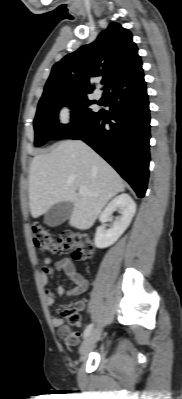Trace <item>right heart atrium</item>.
<instances>
[{
    "mask_svg": "<svg viewBox=\"0 0 182 399\" xmlns=\"http://www.w3.org/2000/svg\"><path fill=\"white\" fill-rule=\"evenodd\" d=\"M73 110L70 106H63L58 111V122L62 125H67L71 122Z\"/></svg>",
    "mask_w": 182,
    "mask_h": 399,
    "instance_id": "d8ad5b80",
    "label": "right heart atrium"
}]
</instances>
